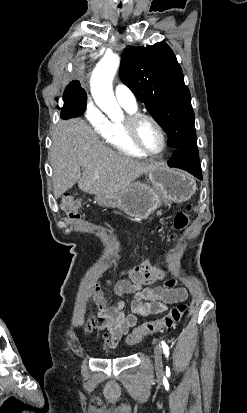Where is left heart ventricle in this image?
<instances>
[{
	"instance_id": "obj_1",
	"label": "left heart ventricle",
	"mask_w": 247,
	"mask_h": 413,
	"mask_svg": "<svg viewBox=\"0 0 247 413\" xmlns=\"http://www.w3.org/2000/svg\"><path fill=\"white\" fill-rule=\"evenodd\" d=\"M138 137L141 144L149 151L157 152L163 146V139L159 130L147 121L140 123Z\"/></svg>"
}]
</instances>
